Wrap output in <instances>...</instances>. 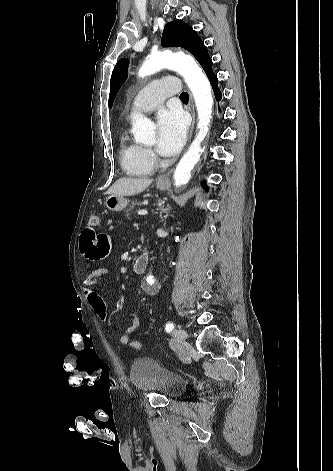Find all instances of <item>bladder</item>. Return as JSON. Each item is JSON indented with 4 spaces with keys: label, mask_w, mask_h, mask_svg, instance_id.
Instances as JSON below:
<instances>
[{
    "label": "bladder",
    "mask_w": 333,
    "mask_h": 471,
    "mask_svg": "<svg viewBox=\"0 0 333 471\" xmlns=\"http://www.w3.org/2000/svg\"><path fill=\"white\" fill-rule=\"evenodd\" d=\"M132 385L142 392H155L177 398L187 389V381L179 374L149 357L136 358L129 371Z\"/></svg>",
    "instance_id": "obj_1"
}]
</instances>
